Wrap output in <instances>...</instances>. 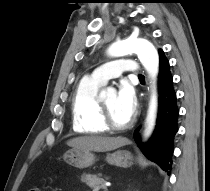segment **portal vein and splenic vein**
<instances>
[{
	"instance_id": "1",
	"label": "portal vein and splenic vein",
	"mask_w": 210,
	"mask_h": 191,
	"mask_svg": "<svg viewBox=\"0 0 210 191\" xmlns=\"http://www.w3.org/2000/svg\"><path fill=\"white\" fill-rule=\"evenodd\" d=\"M106 186H110V184H106V185H105V189H106Z\"/></svg>"
}]
</instances>
